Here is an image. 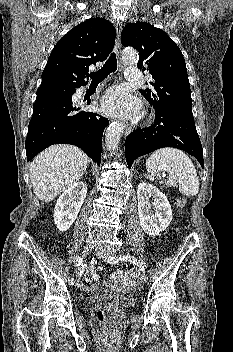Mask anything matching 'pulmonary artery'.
<instances>
[{"label": "pulmonary artery", "instance_id": "1", "mask_svg": "<svg viewBox=\"0 0 233 352\" xmlns=\"http://www.w3.org/2000/svg\"><path fill=\"white\" fill-rule=\"evenodd\" d=\"M125 78L129 81H137L139 79V70L136 67H128L125 71Z\"/></svg>", "mask_w": 233, "mask_h": 352}]
</instances>
